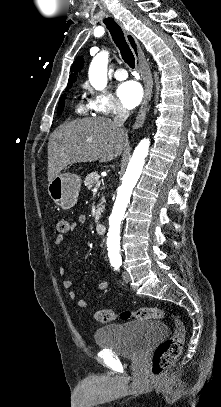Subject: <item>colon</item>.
<instances>
[{
    "label": "colon",
    "instance_id": "1",
    "mask_svg": "<svg viewBox=\"0 0 221 407\" xmlns=\"http://www.w3.org/2000/svg\"><path fill=\"white\" fill-rule=\"evenodd\" d=\"M57 233L65 235L69 231L68 220L64 217L58 219L56 225ZM170 316L163 310L156 307H145L136 311L116 312L112 309H101L96 311L95 319L102 323H111L118 318L122 320L137 319V320H162ZM174 323V335L162 341L155 349L152 359L151 372L154 376L164 374L178 358L181 352L182 344L185 336V326L178 319H172Z\"/></svg>",
    "mask_w": 221,
    "mask_h": 407
}]
</instances>
